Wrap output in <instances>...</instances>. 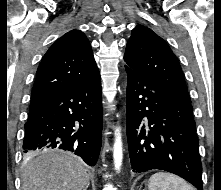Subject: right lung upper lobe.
I'll use <instances>...</instances> for the list:
<instances>
[{"mask_svg": "<svg viewBox=\"0 0 221 190\" xmlns=\"http://www.w3.org/2000/svg\"><path fill=\"white\" fill-rule=\"evenodd\" d=\"M99 74L91 45L80 30H71L45 53L37 69L31 102Z\"/></svg>", "mask_w": 221, "mask_h": 190, "instance_id": "cb5924a9", "label": "right lung upper lobe"}]
</instances>
